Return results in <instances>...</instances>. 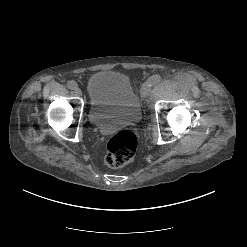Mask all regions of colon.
<instances>
[{
	"instance_id": "obj_1",
	"label": "colon",
	"mask_w": 247,
	"mask_h": 247,
	"mask_svg": "<svg viewBox=\"0 0 247 247\" xmlns=\"http://www.w3.org/2000/svg\"><path fill=\"white\" fill-rule=\"evenodd\" d=\"M138 146L137 136L130 130H122L107 140L105 164L111 168H120L133 161Z\"/></svg>"
}]
</instances>
